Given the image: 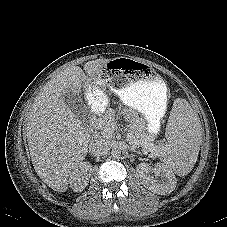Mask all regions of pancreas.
Segmentation results:
<instances>
[{
  "label": "pancreas",
  "instance_id": "1",
  "mask_svg": "<svg viewBox=\"0 0 227 227\" xmlns=\"http://www.w3.org/2000/svg\"><path fill=\"white\" fill-rule=\"evenodd\" d=\"M114 125H115V117L112 111H107L102 118L99 120V124L97 126L98 134L106 139H111L114 137ZM143 128V126L141 127ZM142 131V130H140ZM128 140L130 144L135 145L136 147H142L144 151H152L155 152V146L149 139V137L141 134L138 130H136L135 126H131V129L128 133Z\"/></svg>",
  "mask_w": 227,
  "mask_h": 227
}]
</instances>
